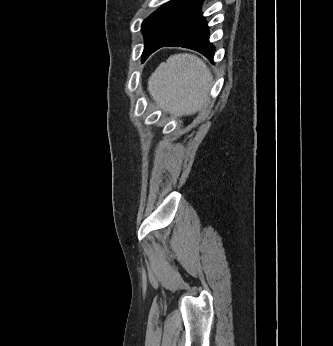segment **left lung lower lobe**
Instances as JSON below:
<instances>
[{
    "label": "left lung lower lobe",
    "mask_w": 333,
    "mask_h": 346,
    "mask_svg": "<svg viewBox=\"0 0 333 346\" xmlns=\"http://www.w3.org/2000/svg\"><path fill=\"white\" fill-rule=\"evenodd\" d=\"M164 46L185 47L196 50L213 62L215 53L214 46L209 42V28L206 18L200 11L175 34L164 41L154 44L143 57L145 61L148 56L157 49Z\"/></svg>",
    "instance_id": "0a47b994"
}]
</instances>
